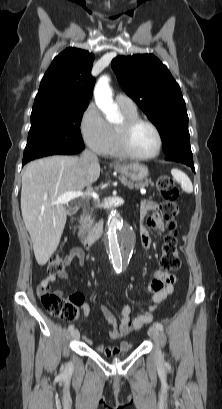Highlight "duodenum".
<instances>
[{
	"label": "duodenum",
	"mask_w": 222,
	"mask_h": 409,
	"mask_svg": "<svg viewBox=\"0 0 222 409\" xmlns=\"http://www.w3.org/2000/svg\"><path fill=\"white\" fill-rule=\"evenodd\" d=\"M80 209L79 205H75L71 208V212L73 214L77 213ZM102 230H103V225L102 224H98L93 230L92 232L88 235L87 239H86V246L89 248L92 246V244L100 237V235L102 234Z\"/></svg>",
	"instance_id": "1"
}]
</instances>
